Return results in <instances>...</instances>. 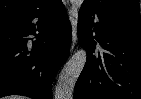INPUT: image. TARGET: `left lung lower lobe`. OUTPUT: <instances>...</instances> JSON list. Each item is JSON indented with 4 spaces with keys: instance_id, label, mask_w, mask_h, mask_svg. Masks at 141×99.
Returning <instances> with one entry per match:
<instances>
[{
    "instance_id": "obj_1",
    "label": "left lung lower lobe",
    "mask_w": 141,
    "mask_h": 99,
    "mask_svg": "<svg viewBox=\"0 0 141 99\" xmlns=\"http://www.w3.org/2000/svg\"><path fill=\"white\" fill-rule=\"evenodd\" d=\"M78 35L87 61L74 99H141L140 20L113 18L82 4ZM94 38L102 48L100 52Z\"/></svg>"
}]
</instances>
